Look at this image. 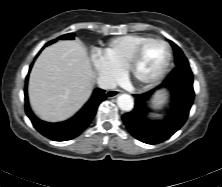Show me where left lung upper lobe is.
<instances>
[{
    "label": "left lung upper lobe",
    "instance_id": "left-lung-upper-lobe-1",
    "mask_svg": "<svg viewBox=\"0 0 222 187\" xmlns=\"http://www.w3.org/2000/svg\"><path fill=\"white\" fill-rule=\"evenodd\" d=\"M173 49H174V53H175V64L176 66L178 65H183V64H188V60L187 58L184 56L182 50L172 41H170Z\"/></svg>",
    "mask_w": 222,
    "mask_h": 187
}]
</instances>
